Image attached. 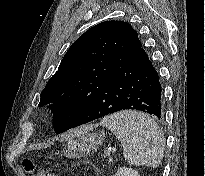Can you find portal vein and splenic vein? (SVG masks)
I'll return each instance as SVG.
<instances>
[{"instance_id": "portal-vein-and-splenic-vein-1", "label": "portal vein and splenic vein", "mask_w": 205, "mask_h": 176, "mask_svg": "<svg viewBox=\"0 0 205 176\" xmlns=\"http://www.w3.org/2000/svg\"><path fill=\"white\" fill-rule=\"evenodd\" d=\"M110 151L115 152V151H116V148H111ZM110 151H108L107 154H109Z\"/></svg>"}]
</instances>
